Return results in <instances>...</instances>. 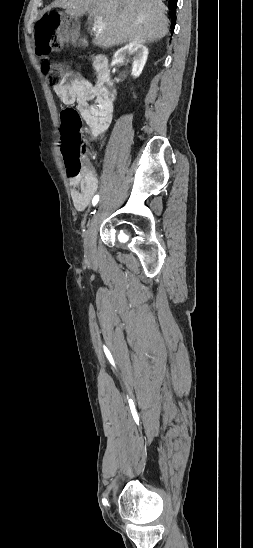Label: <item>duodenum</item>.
<instances>
[{"label": "duodenum", "mask_w": 253, "mask_h": 548, "mask_svg": "<svg viewBox=\"0 0 253 548\" xmlns=\"http://www.w3.org/2000/svg\"><path fill=\"white\" fill-rule=\"evenodd\" d=\"M93 66L97 76L98 90L108 99L113 100L116 88L111 77L109 61L105 55H96L93 58Z\"/></svg>", "instance_id": "duodenum-1"}]
</instances>
